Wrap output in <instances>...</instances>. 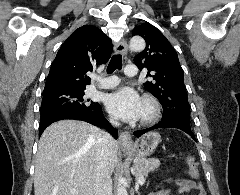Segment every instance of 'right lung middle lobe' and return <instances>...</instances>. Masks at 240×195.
<instances>
[{"label": "right lung middle lobe", "instance_id": "right-lung-middle-lobe-1", "mask_svg": "<svg viewBox=\"0 0 240 195\" xmlns=\"http://www.w3.org/2000/svg\"><path fill=\"white\" fill-rule=\"evenodd\" d=\"M84 94V88H78L43 95L41 115L61 110L101 109V106L98 103L90 102L89 99L84 98Z\"/></svg>", "mask_w": 240, "mask_h": 195}]
</instances>
